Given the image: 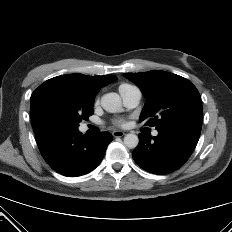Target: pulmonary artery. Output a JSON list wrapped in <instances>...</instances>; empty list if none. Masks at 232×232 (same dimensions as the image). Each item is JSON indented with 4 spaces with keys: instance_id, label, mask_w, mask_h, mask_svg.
<instances>
[{
    "instance_id": "pulmonary-artery-1",
    "label": "pulmonary artery",
    "mask_w": 232,
    "mask_h": 232,
    "mask_svg": "<svg viewBox=\"0 0 232 232\" xmlns=\"http://www.w3.org/2000/svg\"><path fill=\"white\" fill-rule=\"evenodd\" d=\"M124 105L128 108H135L141 99V92L140 90L136 87L128 92L122 93L121 94ZM153 136L158 135V131L154 130L152 132Z\"/></svg>"
}]
</instances>
